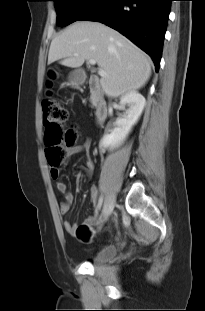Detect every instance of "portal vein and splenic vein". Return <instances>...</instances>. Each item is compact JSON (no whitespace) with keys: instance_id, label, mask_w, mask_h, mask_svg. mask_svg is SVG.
Listing matches in <instances>:
<instances>
[{"instance_id":"18ae733b","label":"portal vein and splenic vein","mask_w":205,"mask_h":311,"mask_svg":"<svg viewBox=\"0 0 205 311\" xmlns=\"http://www.w3.org/2000/svg\"><path fill=\"white\" fill-rule=\"evenodd\" d=\"M75 55H77V54H75ZM89 63L94 65V64H96V61L91 59V60H89ZM98 73L100 76H106L107 75V73L103 69H99Z\"/></svg>"}]
</instances>
